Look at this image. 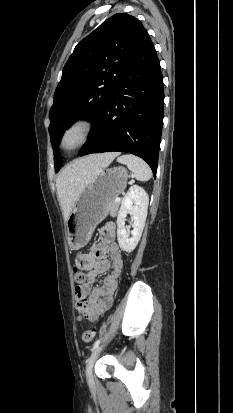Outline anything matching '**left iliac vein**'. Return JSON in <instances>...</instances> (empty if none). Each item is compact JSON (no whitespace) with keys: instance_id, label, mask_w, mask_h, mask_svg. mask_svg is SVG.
<instances>
[{"instance_id":"obj_1","label":"left iliac vein","mask_w":233,"mask_h":413,"mask_svg":"<svg viewBox=\"0 0 233 413\" xmlns=\"http://www.w3.org/2000/svg\"><path fill=\"white\" fill-rule=\"evenodd\" d=\"M103 345L98 346L91 354L87 366H86V378L88 382H92L93 377H92V370L95 361L97 360L101 350H102Z\"/></svg>"}]
</instances>
